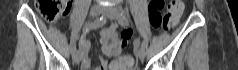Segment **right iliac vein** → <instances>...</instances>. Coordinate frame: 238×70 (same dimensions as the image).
<instances>
[{
    "label": "right iliac vein",
    "mask_w": 238,
    "mask_h": 70,
    "mask_svg": "<svg viewBox=\"0 0 238 70\" xmlns=\"http://www.w3.org/2000/svg\"><path fill=\"white\" fill-rule=\"evenodd\" d=\"M101 11H102L101 6L93 5L90 9V16L97 17L101 13ZM72 58H73L74 63L79 64L82 57H81L80 52L76 51L75 53H73Z\"/></svg>",
    "instance_id": "obj_1"
}]
</instances>
